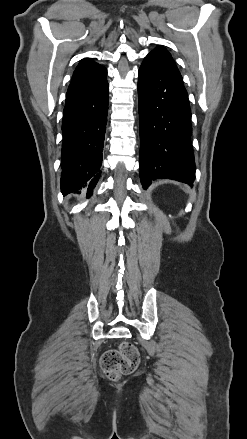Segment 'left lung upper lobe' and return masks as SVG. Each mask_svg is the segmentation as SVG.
Returning <instances> with one entry per match:
<instances>
[{"label":"left lung upper lobe","instance_id":"obj_1","mask_svg":"<svg viewBox=\"0 0 247 439\" xmlns=\"http://www.w3.org/2000/svg\"><path fill=\"white\" fill-rule=\"evenodd\" d=\"M146 60L152 61L164 69L169 74L175 76L176 78L182 80L181 74L171 56V54L163 47L157 46L153 51H151L145 58Z\"/></svg>","mask_w":247,"mask_h":439}]
</instances>
